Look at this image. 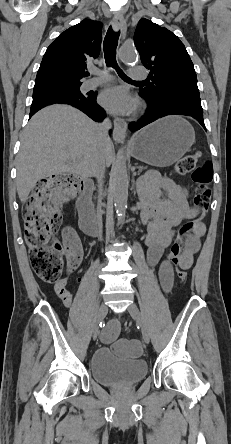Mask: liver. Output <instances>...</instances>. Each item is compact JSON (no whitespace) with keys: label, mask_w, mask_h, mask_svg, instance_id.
Masks as SVG:
<instances>
[{"label":"liver","mask_w":231,"mask_h":444,"mask_svg":"<svg viewBox=\"0 0 231 444\" xmlns=\"http://www.w3.org/2000/svg\"><path fill=\"white\" fill-rule=\"evenodd\" d=\"M100 157L110 166L114 146L103 141L99 125L68 105L38 111L21 134L16 186L21 202L41 179L63 173L91 177Z\"/></svg>","instance_id":"1"}]
</instances>
